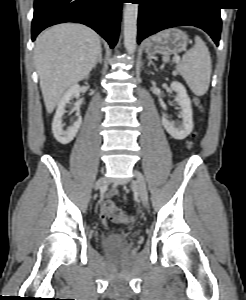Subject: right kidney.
Returning a JSON list of instances; mask_svg holds the SVG:
<instances>
[{
	"label": "right kidney",
	"instance_id": "ca27d5eb",
	"mask_svg": "<svg viewBox=\"0 0 246 300\" xmlns=\"http://www.w3.org/2000/svg\"><path fill=\"white\" fill-rule=\"evenodd\" d=\"M80 95V86L78 84L72 85L63 95L61 100L58 103V107L52 122V132L55 139L66 145L70 143L74 137L76 136L78 129L82 123V118L79 114H77V120L72 124L67 131L63 130L64 124H62V116L65 113V106L72 98H78Z\"/></svg>",
	"mask_w": 246,
	"mask_h": 300
}]
</instances>
